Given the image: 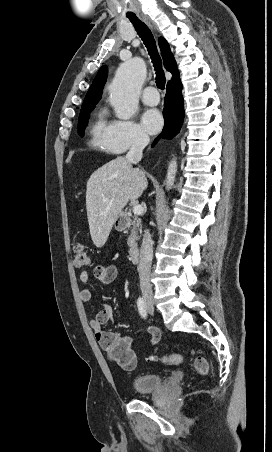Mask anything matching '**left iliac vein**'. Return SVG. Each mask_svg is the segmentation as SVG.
Here are the masks:
<instances>
[{
	"label": "left iliac vein",
	"instance_id": "4c4485c4",
	"mask_svg": "<svg viewBox=\"0 0 272 452\" xmlns=\"http://www.w3.org/2000/svg\"><path fill=\"white\" fill-rule=\"evenodd\" d=\"M148 311H149V313H150V314H153V310H151V309H148Z\"/></svg>",
	"mask_w": 272,
	"mask_h": 452
}]
</instances>
